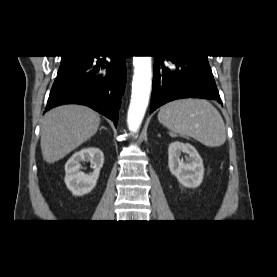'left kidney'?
<instances>
[{
	"mask_svg": "<svg viewBox=\"0 0 277 277\" xmlns=\"http://www.w3.org/2000/svg\"><path fill=\"white\" fill-rule=\"evenodd\" d=\"M186 154L185 161L181 159ZM168 167L178 181L187 188L198 187L204 177L203 160L190 144L175 141L169 144Z\"/></svg>",
	"mask_w": 277,
	"mask_h": 277,
	"instance_id": "1",
	"label": "left kidney"
}]
</instances>
